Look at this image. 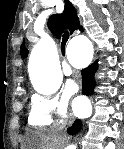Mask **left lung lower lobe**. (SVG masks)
I'll use <instances>...</instances> for the list:
<instances>
[{
	"instance_id": "0a47b994",
	"label": "left lung lower lobe",
	"mask_w": 124,
	"mask_h": 149,
	"mask_svg": "<svg viewBox=\"0 0 124 149\" xmlns=\"http://www.w3.org/2000/svg\"><path fill=\"white\" fill-rule=\"evenodd\" d=\"M98 64L97 62L93 63L92 65L88 66L84 70L81 71L82 73V93L84 95H91L94 91L96 86L94 74L97 71Z\"/></svg>"
}]
</instances>
